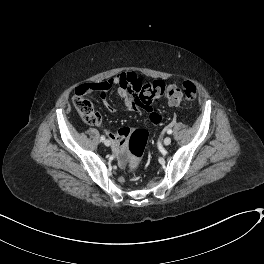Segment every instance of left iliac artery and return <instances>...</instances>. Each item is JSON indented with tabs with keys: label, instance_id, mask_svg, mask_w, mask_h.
I'll return each mask as SVG.
<instances>
[{
	"label": "left iliac artery",
	"instance_id": "obj_1",
	"mask_svg": "<svg viewBox=\"0 0 264 264\" xmlns=\"http://www.w3.org/2000/svg\"><path fill=\"white\" fill-rule=\"evenodd\" d=\"M172 132H173L172 129H168V130H167V133H168V134H171Z\"/></svg>",
	"mask_w": 264,
	"mask_h": 264
}]
</instances>
